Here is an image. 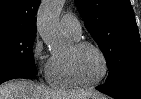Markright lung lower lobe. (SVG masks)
<instances>
[{"mask_svg":"<svg viewBox=\"0 0 141 99\" xmlns=\"http://www.w3.org/2000/svg\"><path fill=\"white\" fill-rule=\"evenodd\" d=\"M36 74L37 72H30V71H24V70L3 72V73H0V84L10 79L29 78V77L35 76Z\"/></svg>","mask_w":141,"mask_h":99,"instance_id":"1","label":"right lung lower lobe"}]
</instances>
